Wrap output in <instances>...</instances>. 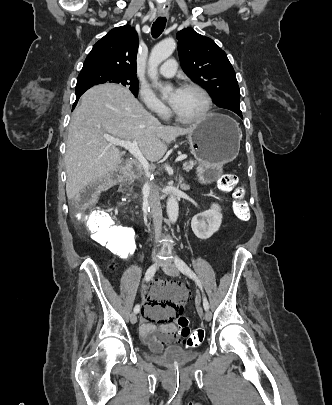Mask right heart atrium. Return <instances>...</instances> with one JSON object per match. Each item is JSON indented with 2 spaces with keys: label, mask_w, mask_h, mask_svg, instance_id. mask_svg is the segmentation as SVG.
I'll return each mask as SVG.
<instances>
[{
  "label": "right heart atrium",
  "mask_w": 332,
  "mask_h": 405,
  "mask_svg": "<svg viewBox=\"0 0 332 405\" xmlns=\"http://www.w3.org/2000/svg\"><path fill=\"white\" fill-rule=\"evenodd\" d=\"M138 94L140 100L149 112L160 117H165L168 114V108L156 97L150 88L141 86Z\"/></svg>",
  "instance_id": "d8ad5b80"
}]
</instances>
